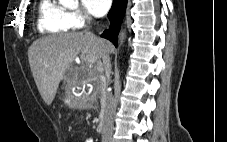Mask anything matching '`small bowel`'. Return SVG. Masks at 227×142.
<instances>
[{"label": "small bowel", "mask_w": 227, "mask_h": 142, "mask_svg": "<svg viewBox=\"0 0 227 142\" xmlns=\"http://www.w3.org/2000/svg\"><path fill=\"white\" fill-rule=\"evenodd\" d=\"M84 142H93V140L90 139V138H88V139H86Z\"/></svg>", "instance_id": "c3829d8e"}]
</instances>
